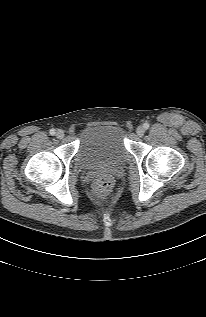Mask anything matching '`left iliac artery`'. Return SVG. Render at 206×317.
Returning a JSON list of instances; mask_svg holds the SVG:
<instances>
[{
	"mask_svg": "<svg viewBox=\"0 0 206 317\" xmlns=\"http://www.w3.org/2000/svg\"><path fill=\"white\" fill-rule=\"evenodd\" d=\"M143 127H144L145 129H148V128H149V124H148V123H144V124H143Z\"/></svg>",
	"mask_w": 206,
	"mask_h": 317,
	"instance_id": "obj_1",
	"label": "left iliac artery"
}]
</instances>
